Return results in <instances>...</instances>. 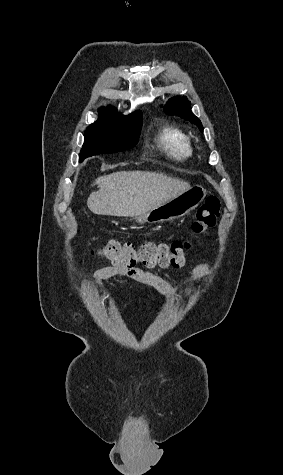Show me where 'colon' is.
Instances as JSON below:
<instances>
[{"label": "colon", "instance_id": "1", "mask_svg": "<svg viewBox=\"0 0 283 475\" xmlns=\"http://www.w3.org/2000/svg\"><path fill=\"white\" fill-rule=\"evenodd\" d=\"M219 216L220 201L216 196H211L196 211L191 223L190 239L174 243L145 242L138 248L132 242H111L103 246L98 254L124 269H132L137 263L146 267H181L185 265L193 245L201 241Z\"/></svg>", "mask_w": 283, "mask_h": 475}]
</instances>
